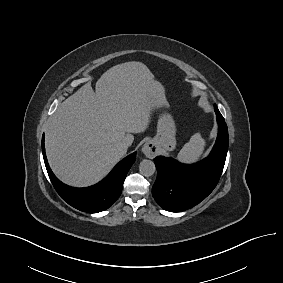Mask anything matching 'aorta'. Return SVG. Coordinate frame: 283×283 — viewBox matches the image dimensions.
Returning a JSON list of instances; mask_svg holds the SVG:
<instances>
[{
    "label": "aorta",
    "mask_w": 283,
    "mask_h": 283,
    "mask_svg": "<svg viewBox=\"0 0 283 283\" xmlns=\"http://www.w3.org/2000/svg\"><path fill=\"white\" fill-rule=\"evenodd\" d=\"M139 171L143 176H152L156 171L154 162L148 159L142 160L139 165Z\"/></svg>",
    "instance_id": "aorta-1"
}]
</instances>
